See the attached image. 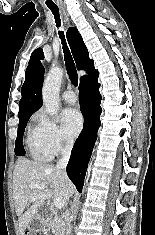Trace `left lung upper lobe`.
<instances>
[{
    "instance_id": "5c2ea615",
    "label": "left lung upper lobe",
    "mask_w": 155,
    "mask_h": 235,
    "mask_svg": "<svg viewBox=\"0 0 155 235\" xmlns=\"http://www.w3.org/2000/svg\"><path fill=\"white\" fill-rule=\"evenodd\" d=\"M43 57H44L43 50L41 48H38L31 54L30 62L36 58L43 59Z\"/></svg>"
}]
</instances>
